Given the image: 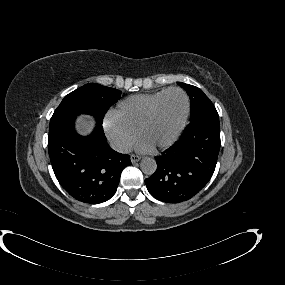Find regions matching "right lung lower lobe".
<instances>
[{
  "label": "right lung lower lobe",
  "mask_w": 285,
  "mask_h": 285,
  "mask_svg": "<svg viewBox=\"0 0 285 285\" xmlns=\"http://www.w3.org/2000/svg\"><path fill=\"white\" fill-rule=\"evenodd\" d=\"M75 117L49 128L48 147L53 171L61 186L76 200L98 204L116 192L130 156L120 154L107 143L102 123L90 136H80L74 128Z\"/></svg>",
  "instance_id": "obj_1"
}]
</instances>
